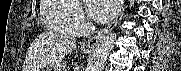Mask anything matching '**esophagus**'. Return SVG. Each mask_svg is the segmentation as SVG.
<instances>
[{"label": "esophagus", "mask_w": 181, "mask_h": 71, "mask_svg": "<svg viewBox=\"0 0 181 71\" xmlns=\"http://www.w3.org/2000/svg\"><path fill=\"white\" fill-rule=\"evenodd\" d=\"M123 14H124V7L121 6L115 19L103 30H101L97 35L86 40L85 45L87 47H95L99 43V41L105 37L106 34L111 32L117 26V24L121 21Z\"/></svg>", "instance_id": "esophagus-1"}]
</instances>
